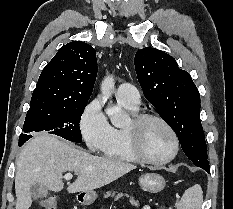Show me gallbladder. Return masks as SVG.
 <instances>
[{
    "mask_svg": "<svg viewBox=\"0 0 233 209\" xmlns=\"http://www.w3.org/2000/svg\"><path fill=\"white\" fill-rule=\"evenodd\" d=\"M31 195L33 199L43 198L48 195V190L40 184H35L31 187Z\"/></svg>",
    "mask_w": 233,
    "mask_h": 209,
    "instance_id": "gallbladder-1",
    "label": "gallbladder"
}]
</instances>
